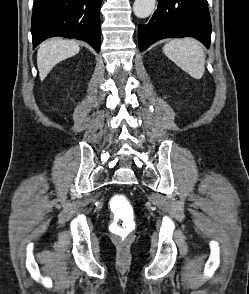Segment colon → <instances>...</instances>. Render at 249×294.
I'll return each mask as SVG.
<instances>
[{
	"label": "colon",
	"mask_w": 249,
	"mask_h": 294,
	"mask_svg": "<svg viewBox=\"0 0 249 294\" xmlns=\"http://www.w3.org/2000/svg\"><path fill=\"white\" fill-rule=\"evenodd\" d=\"M111 205L116 214L111 224V230L121 240H127L135 228V223L129 214L127 198L116 195L112 198Z\"/></svg>",
	"instance_id": "colon-1"
}]
</instances>
